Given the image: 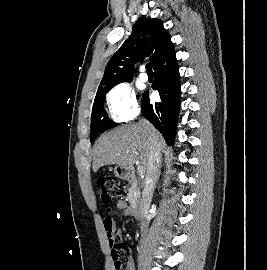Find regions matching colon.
I'll use <instances>...</instances> for the list:
<instances>
[{"label":"colon","mask_w":267,"mask_h":270,"mask_svg":"<svg viewBox=\"0 0 267 270\" xmlns=\"http://www.w3.org/2000/svg\"><path fill=\"white\" fill-rule=\"evenodd\" d=\"M100 198L103 203H108L121 195V189L116 181L110 176H101L97 179ZM114 269H121L119 258L114 260Z\"/></svg>","instance_id":"obj_1"}]
</instances>
